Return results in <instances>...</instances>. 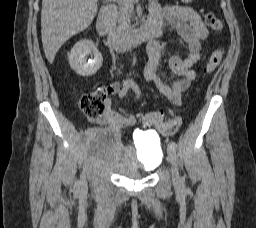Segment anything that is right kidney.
<instances>
[{
  "mask_svg": "<svg viewBox=\"0 0 256 228\" xmlns=\"http://www.w3.org/2000/svg\"><path fill=\"white\" fill-rule=\"evenodd\" d=\"M93 55L94 58L87 62L86 56ZM70 67L80 76L89 77L94 75L101 67L103 57L90 40L77 42L68 55Z\"/></svg>",
  "mask_w": 256,
  "mask_h": 228,
  "instance_id": "obj_1",
  "label": "right kidney"
}]
</instances>
